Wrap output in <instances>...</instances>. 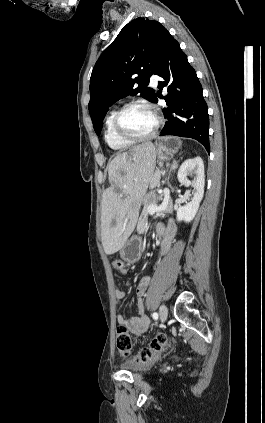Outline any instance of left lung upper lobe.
Wrapping results in <instances>:
<instances>
[{
    "mask_svg": "<svg viewBox=\"0 0 265 423\" xmlns=\"http://www.w3.org/2000/svg\"><path fill=\"white\" fill-rule=\"evenodd\" d=\"M170 37L159 22L140 17L126 24L102 53L92 71L88 106L97 135L109 107L119 99L140 93L154 100L156 93L147 85L160 67Z\"/></svg>",
    "mask_w": 265,
    "mask_h": 423,
    "instance_id": "1",
    "label": "left lung upper lobe"
}]
</instances>
